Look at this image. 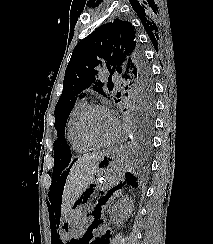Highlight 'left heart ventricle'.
Masks as SVG:
<instances>
[{"label": "left heart ventricle", "instance_id": "left-heart-ventricle-1", "mask_svg": "<svg viewBox=\"0 0 213 244\" xmlns=\"http://www.w3.org/2000/svg\"><path fill=\"white\" fill-rule=\"evenodd\" d=\"M86 128L94 140L107 141L114 135L116 126L108 112L94 110L87 119Z\"/></svg>", "mask_w": 213, "mask_h": 244}]
</instances>
